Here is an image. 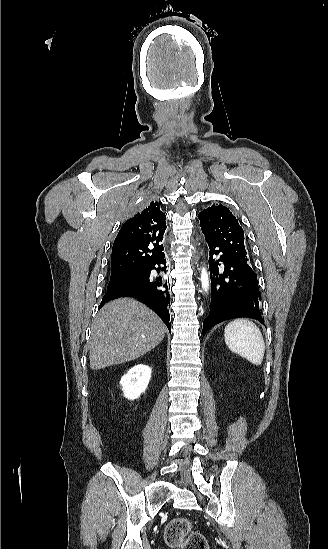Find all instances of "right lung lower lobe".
<instances>
[{"label":"right lung lower lobe","instance_id":"98d812e1","mask_svg":"<svg viewBox=\"0 0 328 549\" xmlns=\"http://www.w3.org/2000/svg\"><path fill=\"white\" fill-rule=\"evenodd\" d=\"M166 260L164 254L158 261L151 265L145 272L142 279L130 281L119 286H115L111 289H107L104 295L100 307H102L107 301L124 296H133L138 298L141 302L146 304L150 309L156 312L163 322L171 330L170 315L168 307L170 305V294L168 291V284L162 275H153L152 270H156L157 273L165 272ZM164 265V267H156V265ZM170 287V285H169Z\"/></svg>","mask_w":328,"mask_h":549}]
</instances>
